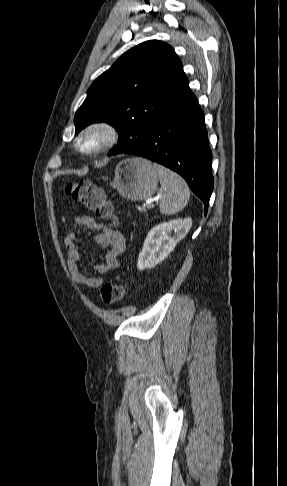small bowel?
<instances>
[{
    "mask_svg": "<svg viewBox=\"0 0 287 486\" xmlns=\"http://www.w3.org/2000/svg\"><path fill=\"white\" fill-rule=\"evenodd\" d=\"M74 227L101 230L94 237V241L100 247L107 249V253L105 254L104 262L94 266L98 276H90L88 272L80 268L82 254L78 235L75 232H69L64 240L67 249V265L73 282L90 288H98L103 283L101 275L119 267V256L125 251L126 247L125 237L120 231L105 227L90 216H75Z\"/></svg>",
    "mask_w": 287,
    "mask_h": 486,
    "instance_id": "c3829d8e",
    "label": "small bowel"
}]
</instances>
